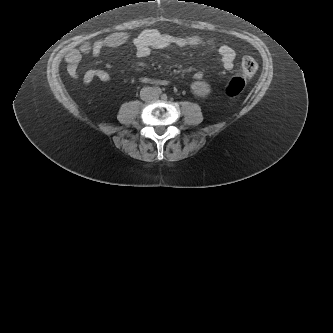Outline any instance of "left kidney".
Returning <instances> with one entry per match:
<instances>
[{
    "instance_id": "left-kidney-1",
    "label": "left kidney",
    "mask_w": 333,
    "mask_h": 333,
    "mask_svg": "<svg viewBox=\"0 0 333 333\" xmlns=\"http://www.w3.org/2000/svg\"><path fill=\"white\" fill-rule=\"evenodd\" d=\"M198 84H201V83L196 82V83L194 84V86H196V85H198ZM201 86H202V87H206L207 85H206V84H202ZM197 94H201V96H205V95L207 94V91H206V90L197 91Z\"/></svg>"
}]
</instances>
